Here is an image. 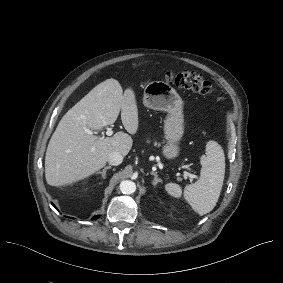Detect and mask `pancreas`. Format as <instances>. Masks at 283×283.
Here are the masks:
<instances>
[{
  "label": "pancreas",
  "mask_w": 283,
  "mask_h": 283,
  "mask_svg": "<svg viewBox=\"0 0 283 283\" xmlns=\"http://www.w3.org/2000/svg\"><path fill=\"white\" fill-rule=\"evenodd\" d=\"M154 146L160 147L161 144L155 141V142H154Z\"/></svg>",
  "instance_id": "cf45deb5"
}]
</instances>
